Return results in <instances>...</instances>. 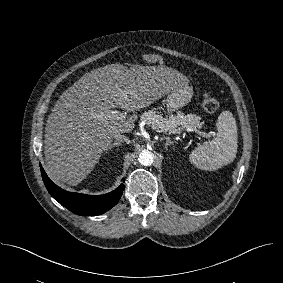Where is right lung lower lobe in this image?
<instances>
[{"label": "right lung lower lobe", "instance_id": "obj_1", "mask_svg": "<svg viewBox=\"0 0 283 283\" xmlns=\"http://www.w3.org/2000/svg\"><path fill=\"white\" fill-rule=\"evenodd\" d=\"M44 184L51 196L71 212L81 216H96L110 210L119 201L124 185L104 195H85L65 191L54 184L40 165Z\"/></svg>", "mask_w": 283, "mask_h": 283}]
</instances>
